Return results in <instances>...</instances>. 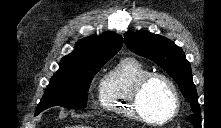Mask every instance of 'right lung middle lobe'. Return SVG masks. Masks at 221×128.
<instances>
[{
  "label": "right lung middle lobe",
  "instance_id": "dd1d6c3e",
  "mask_svg": "<svg viewBox=\"0 0 221 128\" xmlns=\"http://www.w3.org/2000/svg\"><path fill=\"white\" fill-rule=\"evenodd\" d=\"M114 56V55H112ZM73 70L57 72L51 79L35 115L52 106L80 109L87 106V91L94 75L112 57Z\"/></svg>",
  "mask_w": 221,
  "mask_h": 128
}]
</instances>
